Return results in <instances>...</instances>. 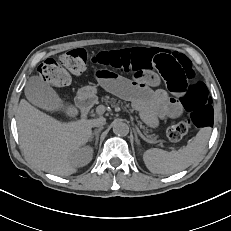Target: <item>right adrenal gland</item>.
Returning <instances> with one entry per match:
<instances>
[{"instance_id": "obj_1", "label": "right adrenal gland", "mask_w": 231, "mask_h": 231, "mask_svg": "<svg viewBox=\"0 0 231 231\" xmlns=\"http://www.w3.org/2000/svg\"><path fill=\"white\" fill-rule=\"evenodd\" d=\"M103 128H99L97 130L94 131V133L92 134L91 138H90V142H92L93 138L95 137V148L97 147L98 144V140H99V133L101 132Z\"/></svg>"}]
</instances>
